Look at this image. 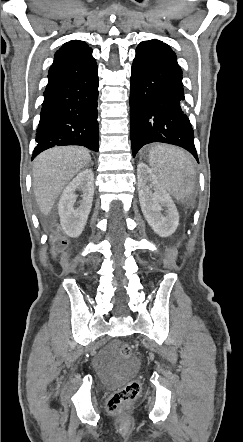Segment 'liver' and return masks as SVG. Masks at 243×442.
Instances as JSON below:
<instances>
[{"label":"liver","mask_w":243,"mask_h":442,"mask_svg":"<svg viewBox=\"0 0 243 442\" xmlns=\"http://www.w3.org/2000/svg\"><path fill=\"white\" fill-rule=\"evenodd\" d=\"M91 162L84 147H54L40 153L33 162V191L41 213L48 216L68 182Z\"/></svg>","instance_id":"obj_1"}]
</instances>
